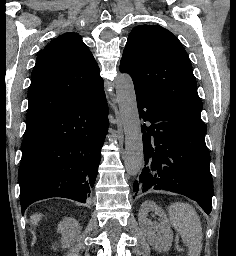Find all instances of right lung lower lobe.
I'll use <instances>...</instances> for the list:
<instances>
[{
	"mask_svg": "<svg viewBox=\"0 0 236 256\" xmlns=\"http://www.w3.org/2000/svg\"><path fill=\"white\" fill-rule=\"evenodd\" d=\"M107 115L102 87L26 129L18 174L22 213L51 197L86 202L98 172Z\"/></svg>",
	"mask_w": 236,
	"mask_h": 256,
	"instance_id": "obj_1",
	"label": "right lung lower lobe"
}]
</instances>
